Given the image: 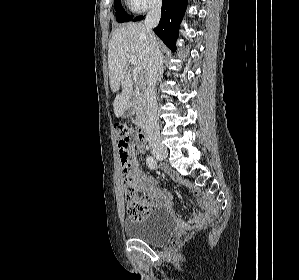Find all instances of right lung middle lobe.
Instances as JSON below:
<instances>
[{
  "label": "right lung middle lobe",
  "mask_w": 299,
  "mask_h": 280,
  "mask_svg": "<svg viewBox=\"0 0 299 280\" xmlns=\"http://www.w3.org/2000/svg\"><path fill=\"white\" fill-rule=\"evenodd\" d=\"M115 10H116V21L117 22H127L130 21L133 16L128 15L124 9L121 7L120 0H114Z\"/></svg>",
  "instance_id": "dd1d6c3e"
}]
</instances>
